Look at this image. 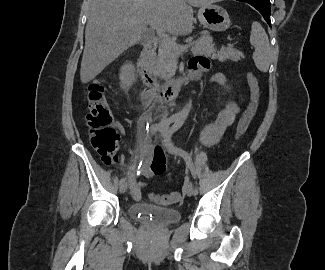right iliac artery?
<instances>
[{
    "label": "right iliac artery",
    "instance_id": "82829eb1",
    "mask_svg": "<svg viewBox=\"0 0 325 270\" xmlns=\"http://www.w3.org/2000/svg\"><path fill=\"white\" fill-rule=\"evenodd\" d=\"M175 120H176V117H175V116H171V117H169V118H168L165 122H163V123H156V124H153V125L149 128L148 133H149L150 135L155 134V133H156L157 131H159L161 128H163L164 126H167V125L173 123ZM124 182H125V178H122V179L120 180V184H122V183H124Z\"/></svg>",
    "mask_w": 325,
    "mask_h": 270
}]
</instances>
